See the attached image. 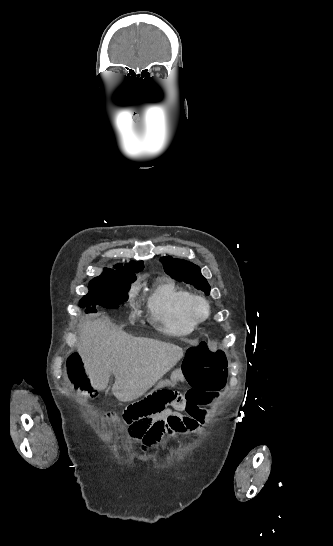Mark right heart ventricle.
I'll use <instances>...</instances> for the list:
<instances>
[{
	"label": "right heart ventricle",
	"mask_w": 333,
	"mask_h": 546,
	"mask_svg": "<svg viewBox=\"0 0 333 546\" xmlns=\"http://www.w3.org/2000/svg\"><path fill=\"white\" fill-rule=\"evenodd\" d=\"M191 294L175 282L158 281L148 294L146 306L150 320L172 336H186L197 324L188 316L186 306Z\"/></svg>",
	"instance_id": "1"
}]
</instances>
